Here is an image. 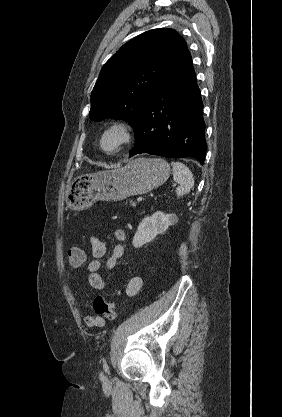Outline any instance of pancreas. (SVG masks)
Here are the masks:
<instances>
[{
  "mask_svg": "<svg viewBox=\"0 0 282 417\" xmlns=\"http://www.w3.org/2000/svg\"><path fill=\"white\" fill-rule=\"evenodd\" d=\"M131 202V206H136V202H134V200H130Z\"/></svg>",
  "mask_w": 282,
  "mask_h": 417,
  "instance_id": "1",
  "label": "pancreas"
}]
</instances>
